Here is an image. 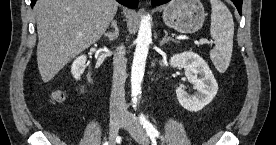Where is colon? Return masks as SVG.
I'll return each mask as SVG.
<instances>
[{
  "mask_svg": "<svg viewBox=\"0 0 276 145\" xmlns=\"http://www.w3.org/2000/svg\"><path fill=\"white\" fill-rule=\"evenodd\" d=\"M63 94L61 92H56L53 95V100L56 102H61L63 100Z\"/></svg>",
  "mask_w": 276,
  "mask_h": 145,
  "instance_id": "colon-1",
  "label": "colon"
}]
</instances>
